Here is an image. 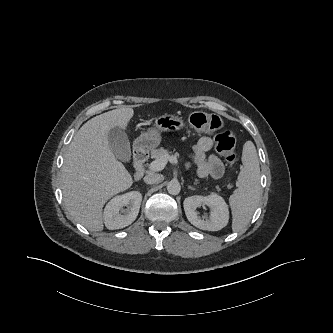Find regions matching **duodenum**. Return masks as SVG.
I'll use <instances>...</instances> for the list:
<instances>
[{
  "mask_svg": "<svg viewBox=\"0 0 333 333\" xmlns=\"http://www.w3.org/2000/svg\"><path fill=\"white\" fill-rule=\"evenodd\" d=\"M147 159V153L142 149H137L133 154V163L135 167V180H141L144 173V164Z\"/></svg>",
  "mask_w": 333,
  "mask_h": 333,
  "instance_id": "410a0bca",
  "label": "duodenum"
}]
</instances>
